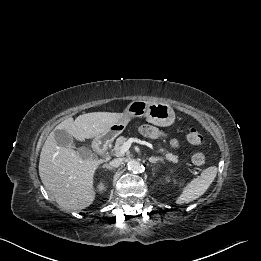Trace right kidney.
I'll return each instance as SVG.
<instances>
[{"instance_id":"1","label":"right kidney","mask_w":261,"mask_h":261,"mask_svg":"<svg viewBox=\"0 0 261 261\" xmlns=\"http://www.w3.org/2000/svg\"><path fill=\"white\" fill-rule=\"evenodd\" d=\"M98 188H99L100 191H103L105 189V187H104V185L102 183H100L98 185Z\"/></svg>"}]
</instances>
